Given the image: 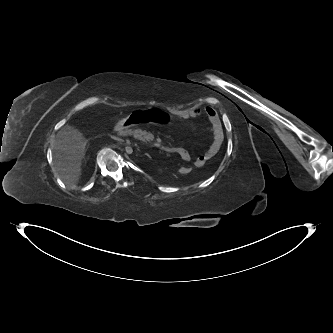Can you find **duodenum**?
<instances>
[{
  "label": "duodenum",
  "instance_id": "1",
  "mask_svg": "<svg viewBox=\"0 0 333 333\" xmlns=\"http://www.w3.org/2000/svg\"><path fill=\"white\" fill-rule=\"evenodd\" d=\"M133 133H134L133 129H130V130L120 129V130L117 131L118 135H121V134L132 135ZM163 149L166 150V151H170L171 150L169 148H163Z\"/></svg>",
  "mask_w": 333,
  "mask_h": 333
}]
</instances>
